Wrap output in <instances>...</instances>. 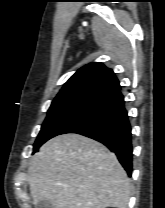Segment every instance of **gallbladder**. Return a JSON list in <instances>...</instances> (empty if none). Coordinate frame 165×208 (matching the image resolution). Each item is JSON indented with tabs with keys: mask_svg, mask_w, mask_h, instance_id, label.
Returning <instances> with one entry per match:
<instances>
[{
	"mask_svg": "<svg viewBox=\"0 0 165 208\" xmlns=\"http://www.w3.org/2000/svg\"><path fill=\"white\" fill-rule=\"evenodd\" d=\"M35 208H53V205L49 200H40L35 203Z\"/></svg>",
	"mask_w": 165,
	"mask_h": 208,
	"instance_id": "1",
	"label": "gallbladder"
}]
</instances>
